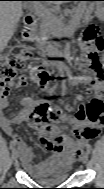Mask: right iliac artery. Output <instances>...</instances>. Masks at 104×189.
I'll return each instance as SVG.
<instances>
[{
  "label": "right iliac artery",
  "mask_w": 104,
  "mask_h": 189,
  "mask_svg": "<svg viewBox=\"0 0 104 189\" xmlns=\"http://www.w3.org/2000/svg\"><path fill=\"white\" fill-rule=\"evenodd\" d=\"M10 148H11L12 150H14V149H15V146H14L13 144H11V145H10Z\"/></svg>",
  "instance_id": "82829eb1"
}]
</instances>
